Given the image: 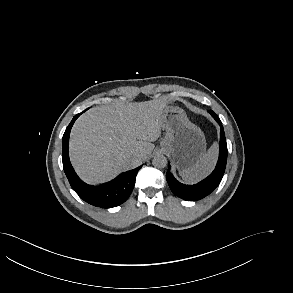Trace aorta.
<instances>
[{"label": "aorta", "instance_id": "1", "mask_svg": "<svg viewBox=\"0 0 293 293\" xmlns=\"http://www.w3.org/2000/svg\"><path fill=\"white\" fill-rule=\"evenodd\" d=\"M152 165L156 168H164L167 165V159L164 155H156L152 159Z\"/></svg>", "mask_w": 293, "mask_h": 293}]
</instances>
